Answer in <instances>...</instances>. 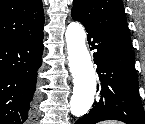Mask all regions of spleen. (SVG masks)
Returning <instances> with one entry per match:
<instances>
[{
    "label": "spleen",
    "mask_w": 145,
    "mask_h": 124,
    "mask_svg": "<svg viewBox=\"0 0 145 124\" xmlns=\"http://www.w3.org/2000/svg\"><path fill=\"white\" fill-rule=\"evenodd\" d=\"M101 124H121V123L116 122V121H108V122H104V123H101Z\"/></svg>",
    "instance_id": "obj_1"
}]
</instances>
